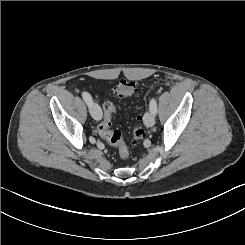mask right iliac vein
Returning a JSON list of instances; mask_svg holds the SVG:
<instances>
[{"instance_id":"1","label":"right iliac vein","mask_w":245,"mask_h":245,"mask_svg":"<svg viewBox=\"0 0 245 245\" xmlns=\"http://www.w3.org/2000/svg\"><path fill=\"white\" fill-rule=\"evenodd\" d=\"M89 111L95 120L99 121L102 118V110L96 102L89 105Z\"/></svg>"}]
</instances>
